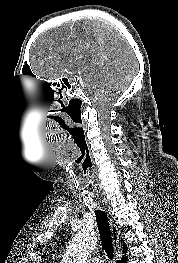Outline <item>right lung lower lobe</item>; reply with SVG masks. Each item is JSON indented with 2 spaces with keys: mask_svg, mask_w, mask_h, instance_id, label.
I'll return each instance as SVG.
<instances>
[{
  "mask_svg": "<svg viewBox=\"0 0 178 263\" xmlns=\"http://www.w3.org/2000/svg\"><path fill=\"white\" fill-rule=\"evenodd\" d=\"M127 257L123 256L121 260L117 261V263H126Z\"/></svg>",
  "mask_w": 178,
  "mask_h": 263,
  "instance_id": "obj_1",
  "label": "right lung lower lobe"
}]
</instances>
